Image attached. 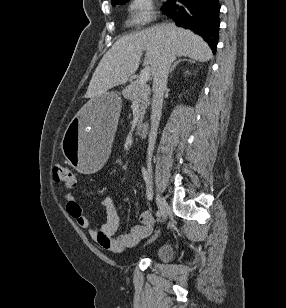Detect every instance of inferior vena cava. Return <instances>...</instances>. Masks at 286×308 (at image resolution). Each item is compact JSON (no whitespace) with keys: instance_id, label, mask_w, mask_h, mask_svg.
Here are the masks:
<instances>
[{"instance_id":"inferior-vena-cava-1","label":"inferior vena cava","mask_w":286,"mask_h":308,"mask_svg":"<svg viewBox=\"0 0 286 308\" xmlns=\"http://www.w3.org/2000/svg\"><path fill=\"white\" fill-rule=\"evenodd\" d=\"M175 53L173 49H167L160 63L158 64L154 74H153V97H152V113H151V129L149 132V145L148 153L151 156V153L154 149L157 129L159 126L161 118V110L163 103V94L167 86V79L170 70L171 63L174 61Z\"/></svg>"}]
</instances>
